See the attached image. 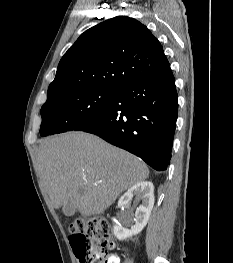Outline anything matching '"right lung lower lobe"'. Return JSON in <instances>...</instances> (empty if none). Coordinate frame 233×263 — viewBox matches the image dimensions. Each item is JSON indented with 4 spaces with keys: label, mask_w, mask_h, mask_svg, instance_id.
<instances>
[{
    "label": "right lung lower lobe",
    "mask_w": 233,
    "mask_h": 263,
    "mask_svg": "<svg viewBox=\"0 0 233 263\" xmlns=\"http://www.w3.org/2000/svg\"><path fill=\"white\" fill-rule=\"evenodd\" d=\"M177 92L171 69L119 89L100 114L73 130L103 138L166 170L171 159L177 120Z\"/></svg>",
    "instance_id": "obj_1"
}]
</instances>
